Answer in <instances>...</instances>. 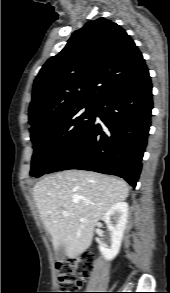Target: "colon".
<instances>
[{"mask_svg": "<svg viewBox=\"0 0 170 293\" xmlns=\"http://www.w3.org/2000/svg\"><path fill=\"white\" fill-rule=\"evenodd\" d=\"M93 256L84 253L77 259L57 264V277L59 281V293H80L75 292L80 287V280L91 275Z\"/></svg>", "mask_w": 170, "mask_h": 293, "instance_id": "5ec220e1", "label": "colon"}]
</instances>
